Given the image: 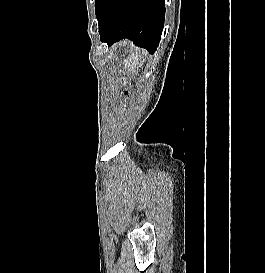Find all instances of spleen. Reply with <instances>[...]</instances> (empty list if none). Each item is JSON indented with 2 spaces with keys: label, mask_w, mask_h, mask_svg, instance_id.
I'll use <instances>...</instances> for the list:
<instances>
[{
  "label": "spleen",
  "mask_w": 265,
  "mask_h": 273,
  "mask_svg": "<svg viewBox=\"0 0 265 273\" xmlns=\"http://www.w3.org/2000/svg\"><path fill=\"white\" fill-rule=\"evenodd\" d=\"M132 59H133V62H132L131 66H132V70H133L138 65V60H139L138 52H136L135 54L132 55Z\"/></svg>",
  "instance_id": "1"
}]
</instances>
